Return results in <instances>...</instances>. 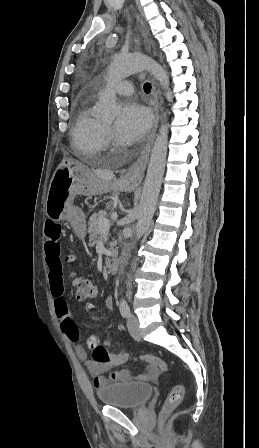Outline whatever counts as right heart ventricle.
Listing matches in <instances>:
<instances>
[{"mask_svg": "<svg viewBox=\"0 0 259 448\" xmlns=\"http://www.w3.org/2000/svg\"><path fill=\"white\" fill-rule=\"evenodd\" d=\"M105 125L98 120L92 109V98L88 96L78 104L72 129L74 144L83 151L81 163H99L106 150L103 142Z\"/></svg>", "mask_w": 259, "mask_h": 448, "instance_id": "right-heart-ventricle-1", "label": "right heart ventricle"}]
</instances>
